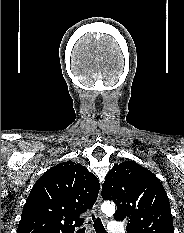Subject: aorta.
<instances>
[{
    "label": "aorta",
    "mask_w": 184,
    "mask_h": 233,
    "mask_svg": "<svg viewBox=\"0 0 184 233\" xmlns=\"http://www.w3.org/2000/svg\"><path fill=\"white\" fill-rule=\"evenodd\" d=\"M101 209L108 216H112L115 213V206L110 201L103 202Z\"/></svg>",
    "instance_id": "aorta-1"
}]
</instances>
